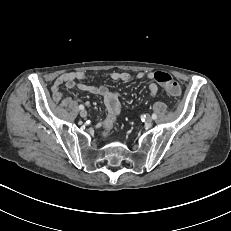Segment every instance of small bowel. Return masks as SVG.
Wrapping results in <instances>:
<instances>
[{"mask_svg": "<svg viewBox=\"0 0 231 231\" xmlns=\"http://www.w3.org/2000/svg\"><path fill=\"white\" fill-rule=\"evenodd\" d=\"M153 72H139L137 73V78L139 80L148 79L150 82L147 85V88L152 95H156L158 92V86L156 83L153 82ZM87 78V74L84 71H75V72H68L60 75L52 85V94L53 99L55 101H62L64 105L69 104L73 99V97L65 96L61 91L60 87L64 85L68 89H78L80 91L89 92L91 94L100 96L103 98L104 104L107 109V115L104 120L99 122L96 126L97 127H111L118 117L121 111V104L118 99V96L112 92L107 86L105 85H98L92 86L81 83ZM110 78L114 81H123L127 82L131 79V76L127 72H118L114 71L110 74ZM89 105V103H86Z\"/></svg>", "mask_w": 231, "mask_h": 231, "instance_id": "1", "label": "small bowel"}]
</instances>
